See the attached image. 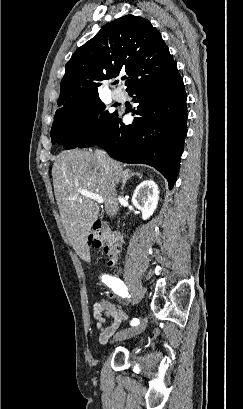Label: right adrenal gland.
I'll list each match as a JSON object with an SVG mask.
<instances>
[{
	"label": "right adrenal gland",
	"mask_w": 243,
	"mask_h": 409,
	"mask_svg": "<svg viewBox=\"0 0 243 409\" xmlns=\"http://www.w3.org/2000/svg\"><path fill=\"white\" fill-rule=\"evenodd\" d=\"M132 176H141L140 173L136 172V173H131L130 176H127L126 178L123 179L122 182V186H121V190L124 191L125 185L127 183V181L132 177Z\"/></svg>",
	"instance_id": "obj_1"
}]
</instances>
